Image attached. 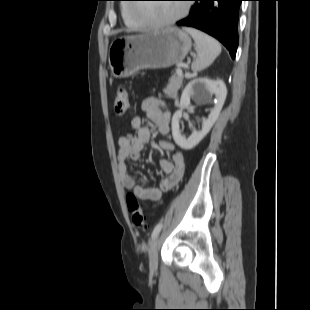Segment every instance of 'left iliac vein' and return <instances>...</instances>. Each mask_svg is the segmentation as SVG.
Returning a JSON list of instances; mask_svg holds the SVG:
<instances>
[{"instance_id":"left-iliac-vein-1","label":"left iliac vein","mask_w":310,"mask_h":310,"mask_svg":"<svg viewBox=\"0 0 310 310\" xmlns=\"http://www.w3.org/2000/svg\"><path fill=\"white\" fill-rule=\"evenodd\" d=\"M160 245V237L157 235L149 246V266L151 271H156L158 268V250Z\"/></svg>"}]
</instances>
